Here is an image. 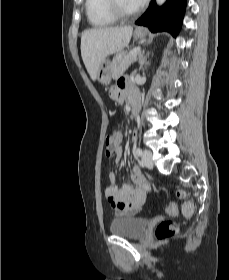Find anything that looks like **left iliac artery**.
I'll use <instances>...</instances> for the list:
<instances>
[{"label": "left iliac artery", "instance_id": "left-iliac-artery-1", "mask_svg": "<svg viewBox=\"0 0 229 280\" xmlns=\"http://www.w3.org/2000/svg\"><path fill=\"white\" fill-rule=\"evenodd\" d=\"M135 154L137 155V156H141L142 155V150L138 147V148H136L135 149Z\"/></svg>", "mask_w": 229, "mask_h": 280}]
</instances>
